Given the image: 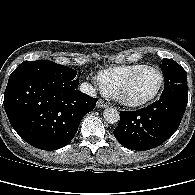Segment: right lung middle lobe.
<instances>
[{
	"label": "right lung middle lobe",
	"instance_id": "right-lung-middle-lobe-1",
	"mask_svg": "<svg viewBox=\"0 0 195 195\" xmlns=\"http://www.w3.org/2000/svg\"><path fill=\"white\" fill-rule=\"evenodd\" d=\"M14 72H30L47 76L48 78L59 82L63 89H68L75 82H78V79L75 78L77 72L74 69L49 60L24 61L14 70Z\"/></svg>",
	"mask_w": 195,
	"mask_h": 195
}]
</instances>
